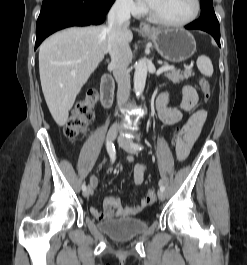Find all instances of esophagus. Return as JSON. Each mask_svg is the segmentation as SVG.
<instances>
[{
    "instance_id": "esophagus-1",
    "label": "esophagus",
    "mask_w": 247,
    "mask_h": 265,
    "mask_svg": "<svg viewBox=\"0 0 247 265\" xmlns=\"http://www.w3.org/2000/svg\"><path fill=\"white\" fill-rule=\"evenodd\" d=\"M139 29L144 32H150L152 31L151 26L146 22H141L139 24Z\"/></svg>"
}]
</instances>
